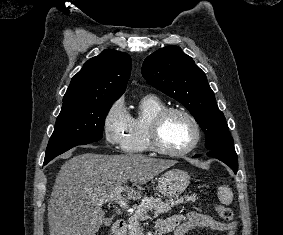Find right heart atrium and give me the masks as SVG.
Masks as SVG:
<instances>
[{
	"label": "right heart atrium",
	"mask_w": 283,
	"mask_h": 235,
	"mask_svg": "<svg viewBox=\"0 0 283 235\" xmlns=\"http://www.w3.org/2000/svg\"><path fill=\"white\" fill-rule=\"evenodd\" d=\"M129 123V114L123 99L115 101L104 119V133L108 144L122 147L123 135Z\"/></svg>",
	"instance_id": "d8ad5b80"
}]
</instances>
